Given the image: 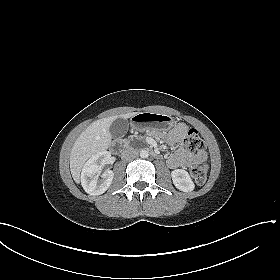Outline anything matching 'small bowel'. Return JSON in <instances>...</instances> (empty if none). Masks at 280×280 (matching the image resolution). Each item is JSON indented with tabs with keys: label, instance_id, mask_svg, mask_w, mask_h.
<instances>
[{
	"label": "small bowel",
	"instance_id": "1",
	"mask_svg": "<svg viewBox=\"0 0 280 280\" xmlns=\"http://www.w3.org/2000/svg\"><path fill=\"white\" fill-rule=\"evenodd\" d=\"M187 131V126L183 123L178 124L168 134V142L176 146L175 152L167 160L170 168H188L192 165L202 163L206 160V153H190L183 145V138Z\"/></svg>",
	"mask_w": 280,
	"mask_h": 280
}]
</instances>
